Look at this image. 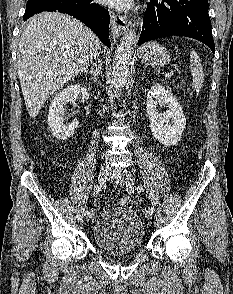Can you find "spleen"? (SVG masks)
<instances>
[{
	"label": "spleen",
	"instance_id": "1",
	"mask_svg": "<svg viewBox=\"0 0 233 294\" xmlns=\"http://www.w3.org/2000/svg\"><path fill=\"white\" fill-rule=\"evenodd\" d=\"M190 71L193 78L192 86L194 91L198 93L203 86L204 73L200 58L195 51L190 52Z\"/></svg>",
	"mask_w": 233,
	"mask_h": 294
}]
</instances>
